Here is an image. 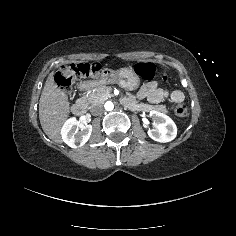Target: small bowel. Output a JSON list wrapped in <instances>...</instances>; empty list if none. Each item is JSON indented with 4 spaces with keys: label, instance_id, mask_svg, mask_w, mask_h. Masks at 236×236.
<instances>
[{
    "label": "small bowel",
    "instance_id": "1",
    "mask_svg": "<svg viewBox=\"0 0 236 236\" xmlns=\"http://www.w3.org/2000/svg\"><path fill=\"white\" fill-rule=\"evenodd\" d=\"M139 98H146L150 103H159L167 99L170 103L176 104L184 100V94L179 90L167 91L158 88L156 81H151L142 86L138 93Z\"/></svg>",
    "mask_w": 236,
    "mask_h": 236
}]
</instances>
